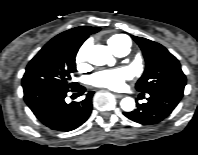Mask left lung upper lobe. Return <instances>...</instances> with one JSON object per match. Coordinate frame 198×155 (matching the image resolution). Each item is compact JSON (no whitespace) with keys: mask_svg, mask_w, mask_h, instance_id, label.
<instances>
[{"mask_svg":"<svg viewBox=\"0 0 198 155\" xmlns=\"http://www.w3.org/2000/svg\"><path fill=\"white\" fill-rule=\"evenodd\" d=\"M141 48L146 61L144 74L136 89L152 93L161 89L184 91L186 77L179 61L162 45L146 38L132 36Z\"/></svg>","mask_w":198,"mask_h":155,"instance_id":"obj_1","label":"left lung upper lobe"}]
</instances>
